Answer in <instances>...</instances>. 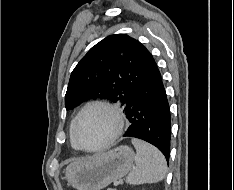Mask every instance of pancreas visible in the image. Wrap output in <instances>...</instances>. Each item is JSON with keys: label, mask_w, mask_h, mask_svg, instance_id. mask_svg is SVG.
Returning a JSON list of instances; mask_svg holds the SVG:
<instances>
[{"label": "pancreas", "mask_w": 234, "mask_h": 190, "mask_svg": "<svg viewBox=\"0 0 234 190\" xmlns=\"http://www.w3.org/2000/svg\"><path fill=\"white\" fill-rule=\"evenodd\" d=\"M107 190H116V189L109 188V189H107Z\"/></svg>", "instance_id": "1"}]
</instances>
